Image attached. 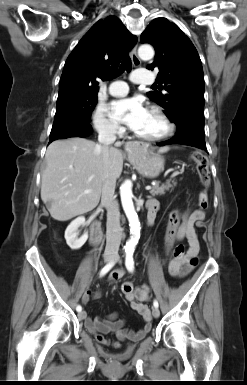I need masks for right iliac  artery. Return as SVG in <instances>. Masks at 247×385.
<instances>
[{
    "label": "right iliac artery",
    "instance_id": "82829eb1",
    "mask_svg": "<svg viewBox=\"0 0 247 385\" xmlns=\"http://www.w3.org/2000/svg\"><path fill=\"white\" fill-rule=\"evenodd\" d=\"M114 264H115V261H112V262H110L109 264H107L106 266H104V267L102 268L101 272H100V276H104L107 272H109L110 269L114 266ZM76 310H77L78 312H80V311L82 310V307H81L80 305H78V306L76 307Z\"/></svg>",
    "mask_w": 247,
    "mask_h": 385
}]
</instances>
